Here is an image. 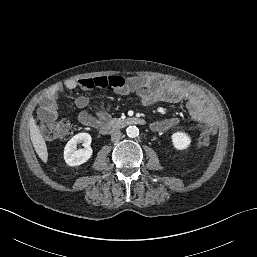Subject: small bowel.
<instances>
[{
    "label": "small bowel",
    "instance_id": "obj_1",
    "mask_svg": "<svg viewBox=\"0 0 257 257\" xmlns=\"http://www.w3.org/2000/svg\"><path fill=\"white\" fill-rule=\"evenodd\" d=\"M91 90L93 88H111L120 96H128L135 93L139 102L148 106L156 102L179 103L186 102L190 116L199 123H208L214 130L211 110L203 95L191 87L177 81H160L157 79L134 76L123 78L118 75L98 76L84 79H68L56 84L42 98L40 114L44 118L53 119L58 113L57 97L65 89ZM79 108L78 121L85 126L98 128L108 121L110 116L104 109V102L100 101L95 105V113L91 114L88 108L90 100L86 96H78L75 100ZM179 122L178 118L171 117L156 121L152 124L153 131H166Z\"/></svg>",
    "mask_w": 257,
    "mask_h": 257
}]
</instances>
